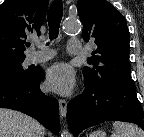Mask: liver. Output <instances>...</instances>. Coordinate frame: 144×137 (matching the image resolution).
<instances>
[{
	"instance_id": "obj_1",
	"label": "liver",
	"mask_w": 144,
	"mask_h": 137,
	"mask_svg": "<svg viewBox=\"0 0 144 137\" xmlns=\"http://www.w3.org/2000/svg\"><path fill=\"white\" fill-rule=\"evenodd\" d=\"M45 128L21 112L0 108V137H44Z\"/></svg>"
}]
</instances>
